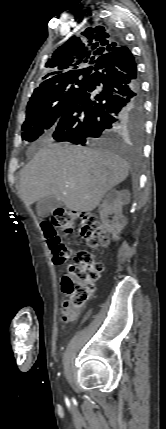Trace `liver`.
<instances>
[{
    "instance_id": "6515ba94",
    "label": "liver",
    "mask_w": 166,
    "mask_h": 429,
    "mask_svg": "<svg viewBox=\"0 0 166 429\" xmlns=\"http://www.w3.org/2000/svg\"><path fill=\"white\" fill-rule=\"evenodd\" d=\"M128 174L129 164L108 150L49 144L21 171L20 197L27 207L55 196L70 210L91 212Z\"/></svg>"
}]
</instances>
